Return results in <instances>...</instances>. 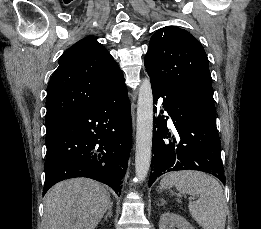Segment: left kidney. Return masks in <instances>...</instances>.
I'll list each match as a JSON object with an SVG mask.
<instances>
[{
	"mask_svg": "<svg viewBox=\"0 0 261 229\" xmlns=\"http://www.w3.org/2000/svg\"><path fill=\"white\" fill-rule=\"evenodd\" d=\"M174 227H177V229H193L192 225L180 215H175V213L161 215L159 229H174Z\"/></svg>",
	"mask_w": 261,
	"mask_h": 229,
	"instance_id": "obj_1",
	"label": "left kidney"
}]
</instances>
